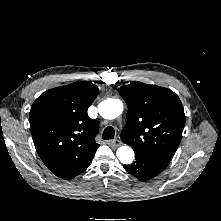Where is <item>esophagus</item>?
Listing matches in <instances>:
<instances>
[{
    "label": "esophagus",
    "instance_id": "34e87169",
    "mask_svg": "<svg viewBox=\"0 0 221 221\" xmlns=\"http://www.w3.org/2000/svg\"><path fill=\"white\" fill-rule=\"evenodd\" d=\"M114 147H118L122 144V142L119 139H114L110 142Z\"/></svg>",
    "mask_w": 221,
    "mask_h": 221
}]
</instances>
